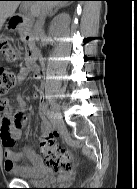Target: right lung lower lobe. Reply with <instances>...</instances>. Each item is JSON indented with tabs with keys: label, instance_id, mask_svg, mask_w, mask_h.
I'll return each mask as SVG.
<instances>
[{
	"label": "right lung lower lobe",
	"instance_id": "right-lung-lower-lobe-1",
	"mask_svg": "<svg viewBox=\"0 0 137 189\" xmlns=\"http://www.w3.org/2000/svg\"><path fill=\"white\" fill-rule=\"evenodd\" d=\"M69 1H77V0H69Z\"/></svg>",
	"mask_w": 137,
	"mask_h": 189
}]
</instances>
